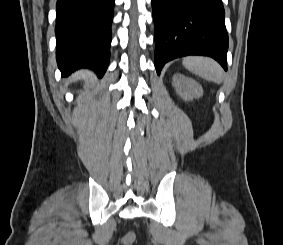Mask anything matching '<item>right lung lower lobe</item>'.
Instances as JSON below:
<instances>
[{
  "mask_svg": "<svg viewBox=\"0 0 283 245\" xmlns=\"http://www.w3.org/2000/svg\"><path fill=\"white\" fill-rule=\"evenodd\" d=\"M115 0H57L56 58L62 76L90 68L99 77L110 56Z\"/></svg>",
  "mask_w": 283,
  "mask_h": 245,
  "instance_id": "98d812e1",
  "label": "right lung lower lobe"
}]
</instances>
